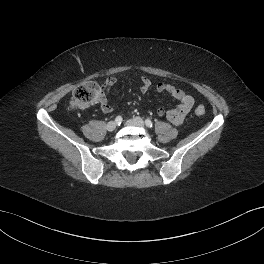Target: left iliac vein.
<instances>
[{
    "label": "left iliac vein",
    "instance_id": "1",
    "mask_svg": "<svg viewBox=\"0 0 264 264\" xmlns=\"http://www.w3.org/2000/svg\"><path fill=\"white\" fill-rule=\"evenodd\" d=\"M126 124L130 125V126H138V127H142V128L145 126L144 121L140 117H135L133 119H129V120H127Z\"/></svg>",
    "mask_w": 264,
    "mask_h": 264
}]
</instances>
